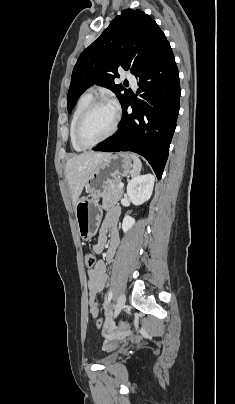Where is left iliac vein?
Wrapping results in <instances>:
<instances>
[{
	"instance_id": "left-iliac-vein-1",
	"label": "left iliac vein",
	"mask_w": 235,
	"mask_h": 404,
	"mask_svg": "<svg viewBox=\"0 0 235 404\" xmlns=\"http://www.w3.org/2000/svg\"><path fill=\"white\" fill-rule=\"evenodd\" d=\"M126 302V297L124 294H121L117 300L114 317H116L120 311L124 308Z\"/></svg>"
}]
</instances>
